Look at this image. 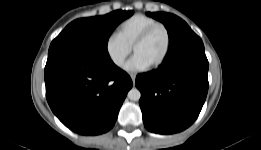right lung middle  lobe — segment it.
Returning a JSON list of instances; mask_svg holds the SVG:
<instances>
[{
    "label": "right lung middle lobe",
    "instance_id": "right-lung-middle-lobe-1",
    "mask_svg": "<svg viewBox=\"0 0 261 150\" xmlns=\"http://www.w3.org/2000/svg\"><path fill=\"white\" fill-rule=\"evenodd\" d=\"M133 11L117 10L104 16L81 18L71 22L51 43L48 59L74 56L87 59H108L109 36L115 27Z\"/></svg>",
    "mask_w": 261,
    "mask_h": 150
}]
</instances>
